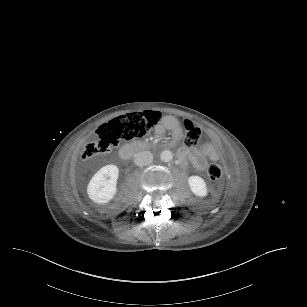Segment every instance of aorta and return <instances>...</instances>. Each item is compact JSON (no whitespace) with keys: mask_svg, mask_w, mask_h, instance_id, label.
Instances as JSON below:
<instances>
[{"mask_svg":"<svg viewBox=\"0 0 307 307\" xmlns=\"http://www.w3.org/2000/svg\"><path fill=\"white\" fill-rule=\"evenodd\" d=\"M160 159L163 162H170L173 159V154L170 150H164L160 154Z\"/></svg>","mask_w":307,"mask_h":307,"instance_id":"1","label":"aorta"}]
</instances>
